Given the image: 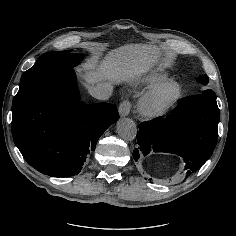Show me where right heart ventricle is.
<instances>
[{
    "label": "right heart ventricle",
    "instance_id": "1",
    "mask_svg": "<svg viewBox=\"0 0 236 236\" xmlns=\"http://www.w3.org/2000/svg\"><path fill=\"white\" fill-rule=\"evenodd\" d=\"M169 79V74L163 71L158 72H152L149 75L138 78L134 82H132V86L135 88H149L152 86H155L157 84H160L164 81H167Z\"/></svg>",
    "mask_w": 236,
    "mask_h": 236
}]
</instances>
